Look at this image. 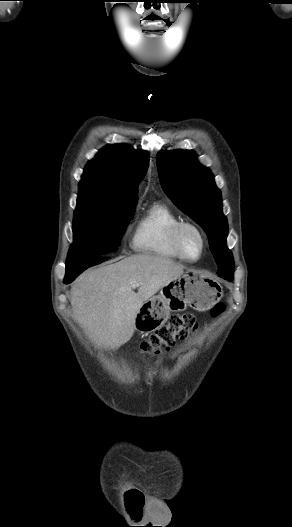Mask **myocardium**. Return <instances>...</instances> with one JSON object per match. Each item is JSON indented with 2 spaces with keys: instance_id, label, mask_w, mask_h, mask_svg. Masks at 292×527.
Segmentation results:
<instances>
[{
  "instance_id": "obj_1",
  "label": "myocardium",
  "mask_w": 292,
  "mask_h": 527,
  "mask_svg": "<svg viewBox=\"0 0 292 527\" xmlns=\"http://www.w3.org/2000/svg\"><path fill=\"white\" fill-rule=\"evenodd\" d=\"M186 229L194 230L199 235V237L201 239V250H200L199 255L196 258L188 257L185 254L184 250H183L182 234H183V232ZM172 243H173L174 249L176 250V252H177L178 256L180 257V259H182V260H184L186 262L195 263V262L199 261L203 257V255H204V253L206 251V248H207V236H206L205 232L203 231V229L199 225H197L196 223L191 222V221H181L173 229V232H172Z\"/></svg>"
}]
</instances>
